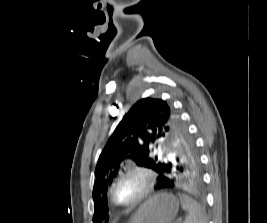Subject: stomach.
I'll list each match as a JSON object with an SVG mask.
<instances>
[{
  "mask_svg": "<svg viewBox=\"0 0 267 223\" xmlns=\"http://www.w3.org/2000/svg\"><path fill=\"white\" fill-rule=\"evenodd\" d=\"M178 210V198L173 194L160 192L146 200L129 223H171Z\"/></svg>",
  "mask_w": 267,
  "mask_h": 223,
  "instance_id": "obj_1",
  "label": "stomach"
}]
</instances>
